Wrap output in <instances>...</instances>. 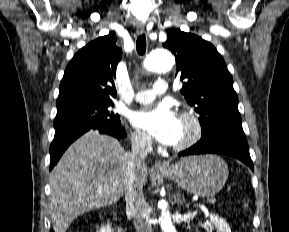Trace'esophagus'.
Returning a JSON list of instances; mask_svg holds the SVG:
<instances>
[{"instance_id": "esophagus-1", "label": "esophagus", "mask_w": 289, "mask_h": 232, "mask_svg": "<svg viewBox=\"0 0 289 232\" xmlns=\"http://www.w3.org/2000/svg\"><path fill=\"white\" fill-rule=\"evenodd\" d=\"M137 32H138V34H143L144 32H145V27H144V25H138V27H137ZM154 169H156V170H164V169H166L167 168V165L165 164V163H163V162H161V161H156L155 163H154Z\"/></svg>"}]
</instances>
